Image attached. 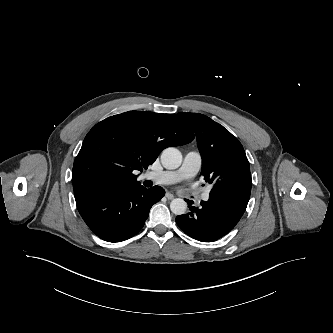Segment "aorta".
Listing matches in <instances>:
<instances>
[{"mask_svg":"<svg viewBox=\"0 0 333 333\" xmlns=\"http://www.w3.org/2000/svg\"><path fill=\"white\" fill-rule=\"evenodd\" d=\"M161 163L166 169H176L182 163V154L178 149L168 147L161 153ZM170 209L175 215H182L186 212L187 203L181 198L173 199L170 203Z\"/></svg>","mask_w":333,"mask_h":333,"instance_id":"1","label":"aorta"}]
</instances>
